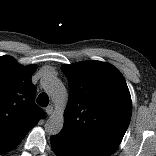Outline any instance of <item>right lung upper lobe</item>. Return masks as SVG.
Segmentation results:
<instances>
[{
	"instance_id": "obj_1",
	"label": "right lung upper lobe",
	"mask_w": 156,
	"mask_h": 156,
	"mask_svg": "<svg viewBox=\"0 0 156 156\" xmlns=\"http://www.w3.org/2000/svg\"><path fill=\"white\" fill-rule=\"evenodd\" d=\"M35 69V65H19L10 56L0 57V154L17 146L45 116L34 103Z\"/></svg>"
}]
</instances>
